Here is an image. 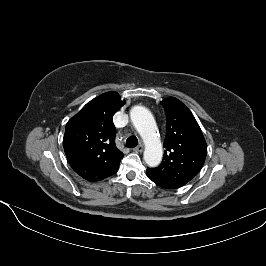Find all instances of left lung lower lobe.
I'll return each instance as SVG.
<instances>
[{
	"label": "left lung lower lobe",
	"instance_id": "0a47b994",
	"mask_svg": "<svg viewBox=\"0 0 266 266\" xmlns=\"http://www.w3.org/2000/svg\"><path fill=\"white\" fill-rule=\"evenodd\" d=\"M147 176L149 179H151L155 184H157L160 187L166 188V189H173L170 188L168 185L163 183L160 179H158L150 170L149 168L147 169Z\"/></svg>",
	"mask_w": 266,
	"mask_h": 266
}]
</instances>
